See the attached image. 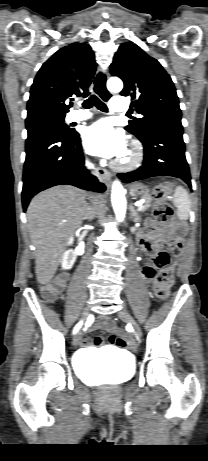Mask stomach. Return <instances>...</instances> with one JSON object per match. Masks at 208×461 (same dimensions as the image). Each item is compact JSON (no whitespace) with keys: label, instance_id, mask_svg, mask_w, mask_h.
I'll return each instance as SVG.
<instances>
[{"label":"stomach","instance_id":"obj_1","mask_svg":"<svg viewBox=\"0 0 208 461\" xmlns=\"http://www.w3.org/2000/svg\"><path fill=\"white\" fill-rule=\"evenodd\" d=\"M131 194L135 197L145 196L148 194V189L141 183L134 184L131 186Z\"/></svg>","mask_w":208,"mask_h":461}]
</instances>
